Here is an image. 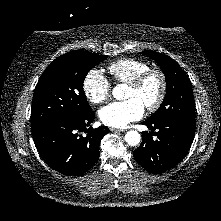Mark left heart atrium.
<instances>
[{"instance_id": "39dd6f15", "label": "left heart atrium", "mask_w": 221, "mask_h": 221, "mask_svg": "<svg viewBox=\"0 0 221 221\" xmlns=\"http://www.w3.org/2000/svg\"><path fill=\"white\" fill-rule=\"evenodd\" d=\"M143 114L144 106L136 98L110 103L99 111L101 122L116 128L126 127L129 123L140 119Z\"/></svg>"}]
</instances>
